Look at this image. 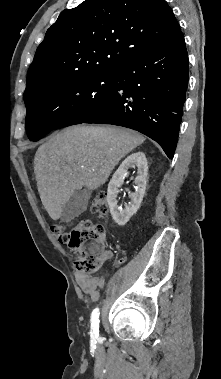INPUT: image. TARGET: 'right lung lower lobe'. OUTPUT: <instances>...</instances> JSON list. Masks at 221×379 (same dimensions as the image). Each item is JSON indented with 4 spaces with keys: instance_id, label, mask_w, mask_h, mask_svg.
Wrapping results in <instances>:
<instances>
[{
    "instance_id": "98d812e1",
    "label": "right lung lower lobe",
    "mask_w": 221,
    "mask_h": 379,
    "mask_svg": "<svg viewBox=\"0 0 221 379\" xmlns=\"http://www.w3.org/2000/svg\"><path fill=\"white\" fill-rule=\"evenodd\" d=\"M189 61L179 30L159 45L123 63L110 99L80 123L113 124L137 130L174 156L188 87Z\"/></svg>"
}]
</instances>
